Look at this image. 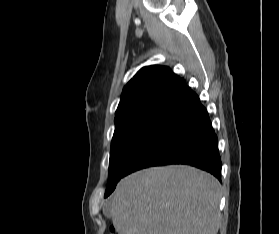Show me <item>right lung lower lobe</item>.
<instances>
[{"label": "right lung lower lobe", "instance_id": "98d812e1", "mask_svg": "<svg viewBox=\"0 0 279 234\" xmlns=\"http://www.w3.org/2000/svg\"><path fill=\"white\" fill-rule=\"evenodd\" d=\"M187 164L221 180L217 136L206 109L190 90L157 124L126 166L125 176L151 166Z\"/></svg>", "mask_w": 279, "mask_h": 234}]
</instances>
